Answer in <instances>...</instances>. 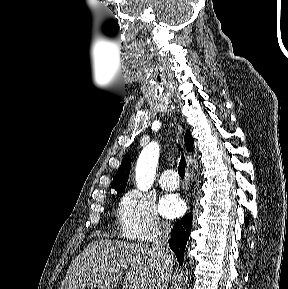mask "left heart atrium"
I'll use <instances>...</instances> for the list:
<instances>
[{
    "label": "left heart atrium",
    "mask_w": 288,
    "mask_h": 289,
    "mask_svg": "<svg viewBox=\"0 0 288 289\" xmlns=\"http://www.w3.org/2000/svg\"><path fill=\"white\" fill-rule=\"evenodd\" d=\"M159 210L167 218H176L184 212L185 205L178 196L169 194L161 199Z\"/></svg>",
    "instance_id": "left-heart-atrium-1"
}]
</instances>
